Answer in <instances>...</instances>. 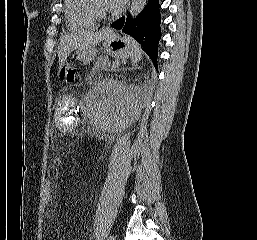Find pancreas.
<instances>
[{
    "instance_id": "cf45deb5",
    "label": "pancreas",
    "mask_w": 257,
    "mask_h": 240,
    "mask_svg": "<svg viewBox=\"0 0 257 240\" xmlns=\"http://www.w3.org/2000/svg\"><path fill=\"white\" fill-rule=\"evenodd\" d=\"M113 64L109 61V59L106 56H101L97 59L95 62L92 72H99V71H108L110 69H113Z\"/></svg>"
}]
</instances>
